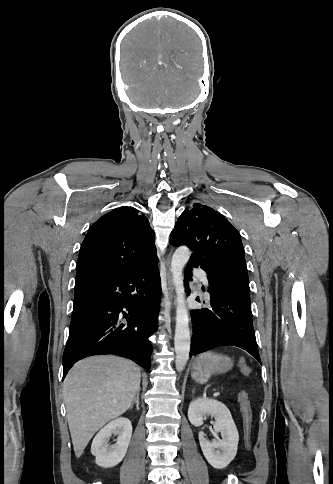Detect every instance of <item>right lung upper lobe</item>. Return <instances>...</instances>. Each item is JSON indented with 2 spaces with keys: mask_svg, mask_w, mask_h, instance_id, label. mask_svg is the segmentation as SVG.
Instances as JSON below:
<instances>
[{
  "mask_svg": "<svg viewBox=\"0 0 333 484\" xmlns=\"http://www.w3.org/2000/svg\"><path fill=\"white\" fill-rule=\"evenodd\" d=\"M154 232L134 207H120L88 230L81 245L76 278L100 273L125 274L158 261Z\"/></svg>",
  "mask_w": 333,
  "mask_h": 484,
  "instance_id": "1",
  "label": "right lung upper lobe"
}]
</instances>
